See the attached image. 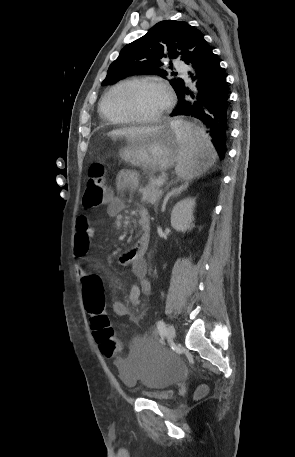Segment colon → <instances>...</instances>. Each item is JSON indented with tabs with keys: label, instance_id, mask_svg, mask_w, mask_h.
<instances>
[{
	"label": "colon",
	"instance_id": "obj_1",
	"mask_svg": "<svg viewBox=\"0 0 295 457\" xmlns=\"http://www.w3.org/2000/svg\"><path fill=\"white\" fill-rule=\"evenodd\" d=\"M111 196L106 186L105 168L102 163L94 162L89 168L86 189L83 196V208L93 210L106 202ZM86 309L90 315L95 340L100 350L112 361H121V344L116 343L109 317L105 312L102 292V278L89 277L83 285Z\"/></svg>",
	"mask_w": 295,
	"mask_h": 457
}]
</instances>
